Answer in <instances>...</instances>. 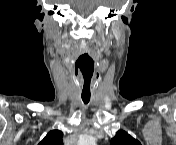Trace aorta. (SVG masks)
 <instances>
[{
    "instance_id": "762f6f07",
    "label": "aorta",
    "mask_w": 176,
    "mask_h": 145,
    "mask_svg": "<svg viewBox=\"0 0 176 145\" xmlns=\"http://www.w3.org/2000/svg\"><path fill=\"white\" fill-rule=\"evenodd\" d=\"M95 138L91 137V136H86L83 138V142L86 145H94L95 144Z\"/></svg>"
}]
</instances>
